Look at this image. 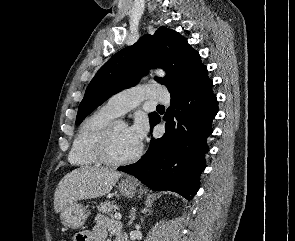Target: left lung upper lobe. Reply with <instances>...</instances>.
Wrapping results in <instances>:
<instances>
[{
  "label": "left lung upper lobe",
  "mask_w": 295,
  "mask_h": 241,
  "mask_svg": "<svg viewBox=\"0 0 295 241\" xmlns=\"http://www.w3.org/2000/svg\"><path fill=\"white\" fill-rule=\"evenodd\" d=\"M163 68L167 76L156 78L170 94L184 90L200 74L207 72L199 53L186 38L172 29L159 27L154 35L142 36L108 60L89 83L78 108L76 124L111 95L138 83L150 68ZM158 114L150 113L151 125Z\"/></svg>",
  "instance_id": "5c2ea615"
}]
</instances>
